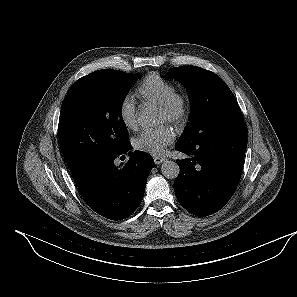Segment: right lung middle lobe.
<instances>
[{"label":"right lung middle lobe","instance_id":"right-lung-middle-lobe-1","mask_svg":"<svg viewBox=\"0 0 297 297\" xmlns=\"http://www.w3.org/2000/svg\"><path fill=\"white\" fill-rule=\"evenodd\" d=\"M139 76L118 70L84 76L67 93L58 131L71 172L94 157L113 154L129 144L122 103Z\"/></svg>","mask_w":297,"mask_h":297}]
</instances>
